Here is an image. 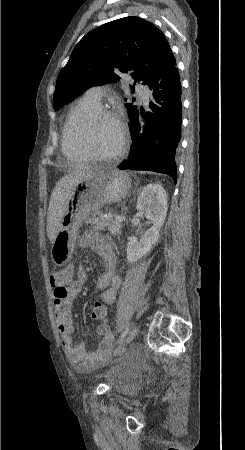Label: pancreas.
<instances>
[{
    "instance_id": "obj_1",
    "label": "pancreas",
    "mask_w": 245,
    "mask_h": 450,
    "mask_svg": "<svg viewBox=\"0 0 245 450\" xmlns=\"http://www.w3.org/2000/svg\"><path fill=\"white\" fill-rule=\"evenodd\" d=\"M96 215H98L96 217ZM87 224H91L93 228L104 230L107 228L112 235L120 234V228L122 226L120 221H117L113 215H104L101 213H95L91 218L86 221Z\"/></svg>"
}]
</instances>
